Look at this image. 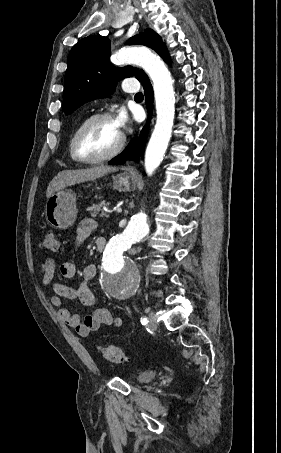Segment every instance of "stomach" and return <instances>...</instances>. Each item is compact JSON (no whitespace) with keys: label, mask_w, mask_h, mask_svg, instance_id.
<instances>
[{"label":"stomach","mask_w":281,"mask_h":453,"mask_svg":"<svg viewBox=\"0 0 281 453\" xmlns=\"http://www.w3.org/2000/svg\"><path fill=\"white\" fill-rule=\"evenodd\" d=\"M137 180L133 178L131 170L120 172L113 176V188L118 190H132ZM45 216L53 229H68L77 218L76 194L73 190H56L46 200Z\"/></svg>","instance_id":"1"}]
</instances>
